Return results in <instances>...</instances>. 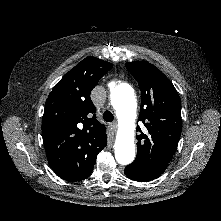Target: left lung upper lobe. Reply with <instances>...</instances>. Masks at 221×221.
I'll return each instance as SVG.
<instances>
[{
	"label": "left lung upper lobe",
	"instance_id": "1",
	"mask_svg": "<svg viewBox=\"0 0 221 221\" xmlns=\"http://www.w3.org/2000/svg\"><path fill=\"white\" fill-rule=\"evenodd\" d=\"M126 68L137 80L141 90L137 125V156L127 165L136 171H164L173 157L180 139L181 103L178 92L170 80L148 62H129Z\"/></svg>",
	"mask_w": 221,
	"mask_h": 221
}]
</instances>
